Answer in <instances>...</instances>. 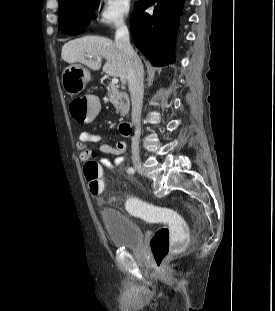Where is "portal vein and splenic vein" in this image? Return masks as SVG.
<instances>
[{
    "label": "portal vein and splenic vein",
    "instance_id": "1",
    "mask_svg": "<svg viewBox=\"0 0 275 311\" xmlns=\"http://www.w3.org/2000/svg\"><path fill=\"white\" fill-rule=\"evenodd\" d=\"M98 61H101V58H97ZM119 82L117 77H113V79L111 80V84L112 85H117Z\"/></svg>",
    "mask_w": 275,
    "mask_h": 311
}]
</instances>
